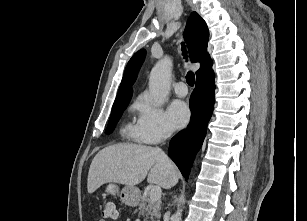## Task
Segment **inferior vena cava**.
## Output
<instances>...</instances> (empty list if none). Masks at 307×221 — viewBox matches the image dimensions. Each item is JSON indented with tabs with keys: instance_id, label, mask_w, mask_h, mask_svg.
<instances>
[{
	"instance_id": "inferior-vena-cava-1",
	"label": "inferior vena cava",
	"mask_w": 307,
	"mask_h": 221,
	"mask_svg": "<svg viewBox=\"0 0 307 221\" xmlns=\"http://www.w3.org/2000/svg\"><path fill=\"white\" fill-rule=\"evenodd\" d=\"M170 135V130L167 128L166 129V131H165V137H167V136H169ZM163 154H164V156H165V158H166V160L169 162V158H168V156L167 155H165V153L163 152Z\"/></svg>"
}]
</instances>
